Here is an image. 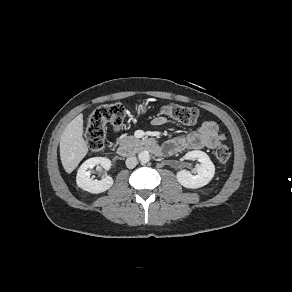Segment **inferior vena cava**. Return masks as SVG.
<instances>
[{
    "mask_svg": "<svg viewBox=\"0 0 292 292\" xmlns=\"http://www.w3.org/2000/svg\"><path fill=\"white\" fill-rule=\"evenodd\" d=\"M125 163H126L127 168L133 169L137 165L138 161L135 156H130L126 159Z\"/></svg>",
    "mask_w": 292,
    "mask_h": 292,
    "instance_id": "602c4592",
    "label": "inferior vena cava"
}]
</instances>
